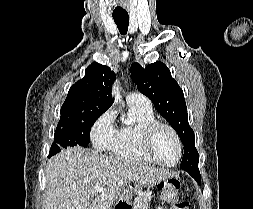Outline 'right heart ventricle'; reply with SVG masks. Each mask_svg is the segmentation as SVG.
Wrapping results in <instances>:
<instances>
[{"mask_svg": "<svg viewBox=\"0 0 253 209\" xmlns=\"http://www.w3.org/2000/svg\"><path fill=\"white\" fill-rule=\"evenodd\" d=\"M128 105L134 122L118 130L117 140L111 151L115 157L120 159L150 163L151 161L144 156L141 150L140 137L142 127L156 120L152 105L138 102H131Z\"/></svg>", "mask_w": 253, "mask_h": 209, "instance_id": "1", "label": "right heart ventricle"}]
</instances>
